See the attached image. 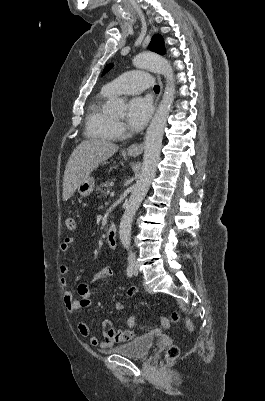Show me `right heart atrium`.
I'll return each instance as SVG.
<instances>
[{
    "instance_id": "obj_1",
    "label": "right heart atrium",
    "mask_w": 265,
    "mask_h": 401,
    "mask_svg": "<svg viewBox=\"0 0 265 401\" xmlns=\"http://www.w3.org/2000/svg\"><path fill=\"white\" fill-rule=\"evenodd\" d=\"M115 129L118 136H123L126 133L124 125L120 122H116Z\"/></svg>"
}]
</instances>
